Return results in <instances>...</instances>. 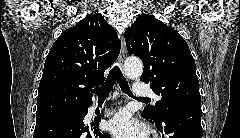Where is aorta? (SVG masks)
<instances>
[{"label": "aorta", "mask_w": 240, "mask_h": 138, "mask_svg": "<svg viewBox=\"0 0 240 138\" xmlns=\"http://www.w3.org/2000/svg\"><path fill=\"white\" fill-rule=\"evenodd\" d=\"M124 69L127 77L138 78L143 72V64L138 58L131 57L126 59Z\"/></svg>", "instance_id": "762f6f07"}]
</instances>
